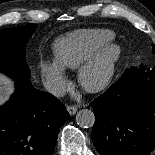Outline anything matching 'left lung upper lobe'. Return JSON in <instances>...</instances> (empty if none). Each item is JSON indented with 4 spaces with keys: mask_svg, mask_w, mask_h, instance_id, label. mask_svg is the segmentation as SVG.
I'll use <instances>...</instances> for the list:
<instances>
[{
    "mask_svg": "<svg viewBox=\"0 0 155 155\" xmlns=\"http://www.w3.org/2000/svg\"><path fill=\"white\" fill-rule=\"evenodd\" d=\"M153 52L155 53V45H152Z\"/></svg>",
    "mask_w": 155,
    "mask_h": 155,
    "instance_id": "left-lung-upper-lobe-1",
    "label": "left lung upper lobe"
}]
</instances>
